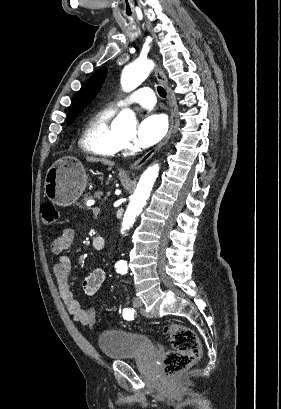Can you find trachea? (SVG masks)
Returning <instances> with one entry per match:
<instances>
[{
	"mask_svg": "<svg viewBox=\"0 0 281 409\" xmlns=\"http://www.w3.org/2000/svg\"><path fill=\"white\" fill-rule=\"evenodd\" d=\"M157 91H158V94L160 95V97H162V98L166 97L167 93H166V90L163 87H161V86L157 87Z\"/></svg>",
	"mask_w": 281,
	"mask_h": 409,
	"instance_id": "3493384b",
	"label": "trachea"
}]
</instances>
